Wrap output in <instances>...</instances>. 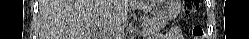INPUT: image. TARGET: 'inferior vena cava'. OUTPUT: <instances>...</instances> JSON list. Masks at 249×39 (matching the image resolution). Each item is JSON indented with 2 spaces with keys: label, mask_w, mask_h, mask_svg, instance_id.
<instances>
[{
  "label": "inferior vena cava",
  "mask_w": 249,
  "mask_h": 39,
  "mask_svg": "<svg viewBox=\"0 0 249 39\" xmlns=\"http://www.w3.org/2000/svg\"><path fill=\"white\" fill-rule=\"evenodd\" d=\"M112 32V31H111ZM111 35H112V37H115L116 36V34H114V33H111Z\"/></svg>",
  "instance_id": "1"
}]
</instances>
